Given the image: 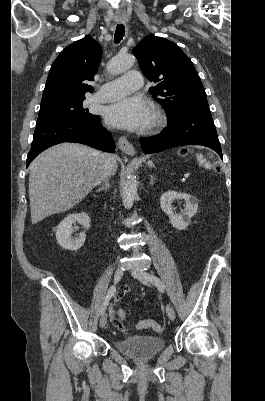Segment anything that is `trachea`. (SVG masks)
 <instances>
[{
    "mask_svg": "<svg viewBox=\"0 0 265 401\" xmlns=\"http://www.w3.org/2000/svg\"><path fill=\"white\" fill-rule=\"evenodd\" d=\"M125 34V27L124 25H117L116 31H115V36H114V41L115 43H119Z\"/></svg>",
    "mask_w": 265,
    "mask_h": 401,
    "instance_id": "obj_1",
    "label": "trachea"
}]
</instances>
